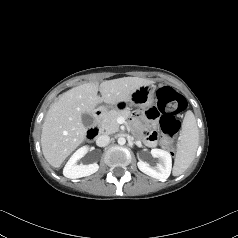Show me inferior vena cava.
Wrapping results in <instances>:
<instances>
[{"instance_id":"602c4592","label":"inferior vena cava","mask_w":238,"mask_h":238,"mask_svg":"<svg viewBox=\"0 0 238 238\" xmlns=\"http://www.w3.org/2000/svg\"><path fill=\"white\" fill-rule=\"evenodd\" d=\"M110 137L108 135H100L96 138V144L99 147H105L109 144Z\"/></svg>"}]
</instances>
